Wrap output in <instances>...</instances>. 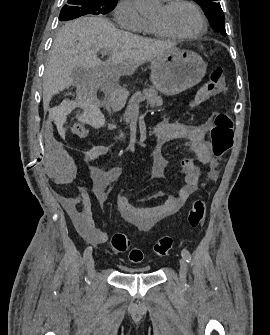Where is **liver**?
Listing matches in <instances>:
<instances>
[{"mask_svg":"<svg viewBox=\"0 0 270 335\" xmlns=\"http://www.w3.org/2000/svg\"><path fill=\"white\" fill-rule=\"evenodd\" d=\"M172 42H157L143 36H135L115 28L102 16L77 18L67 22L53 42L47 68L43 76V108L49 110L54 94L70 88L74 82V68L94 72L101 64L111 66V76H131L138 66L163 52H173ZM99 50H112L107 62L97 58Z\"/></svg>","mask_w":270,"mask_h":335,"instance_id":"obj_1","label":"liver"}]
</instances>
